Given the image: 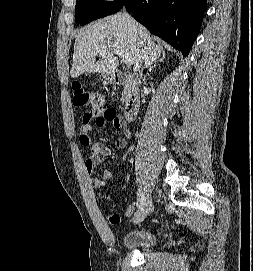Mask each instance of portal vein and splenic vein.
<instances>
[{
	"mask_svg": "<svg viewBox=\"0 0 253 271\" xmlns=\"http://www.w3.org/2000/svg\"><path fill=\"white\" fill-rule=\"evenodd\" d=\"M99 53L101 55H104L106 53V50H101ZM114 53L122 59V61L126 64V66H131L133 64L132 59L129 57V55L126 52L122 50H115Z\"/></svg>",
	"mask_w": 253,
	"mask_h": 271,
	"instance_id": "portal-vein-and-splenic-vein-1",
	"label": "portal vein and splenic vein"
}]
</instances>
